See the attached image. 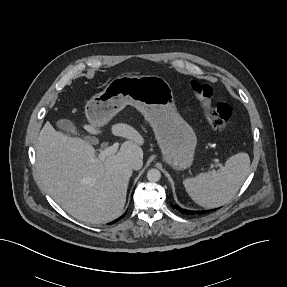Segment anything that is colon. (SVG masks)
Masks as SVG:
<instances>
[{
  "label": "colon",
  "mask_w": 287,
  "mask_h": 287,
  "mask_svg": "<svg viewBox=\"0 0 287 287\" xmlns=\"http://www.w3.org/2000/svg\"><path fill=\"white\" fill-rule=\"evenodd\" d=\"M190 86L211 126L217 131L226 130L229 127L231 116L230 106L226 103L214 104L213 89L207 83L192 80Z\"/></svg>",
  "instance_id": "5ec220e1"
}]
</instances>
